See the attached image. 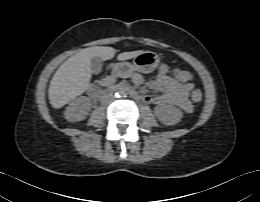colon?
I'll return each instance as SVG.
<instances>
[{
    "instance_id": "colon-1",
    "label": "colon",
    "mask_w": 260,
    "mask_h": 202,
    "mask_svg": "<svg viewBox=\"0 0 260 202\" xmlns=\"http://www.w3.org/2000/svg\"><path fill=\"white\" fill-rule=\"evenodd\" d=\"M169 71L173 73L174 77L176 80L180 81V82H189L192 80V74L187 71V70H182V69H176L173 66L169 67ZM202 92L199 89H194L191 92V100L194 103H199L202 100Z\"/></svg>"
}]
</instances>
